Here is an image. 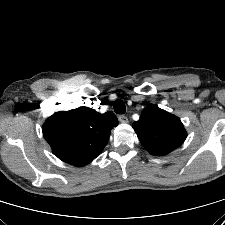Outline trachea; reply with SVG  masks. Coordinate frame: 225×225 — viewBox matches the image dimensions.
I'll return each mask as SVG.
<instances>
[{
    "instance_id": "3493384b",
    "label": "trachea",
    "mask_w": 225,
    "mask_h": 225,
    "mask_svg": "<svg viewBox=\"0 0 225 225\" xmlns=\"http://www.w3.org/2000/svg\"><path fill=\"white\" fill-rule=\"evenodd\" d=\"M114 111L117 114H124L126 112V107L122 100L118 99L114 102Z\"/></svg>"
}]
</instances>
